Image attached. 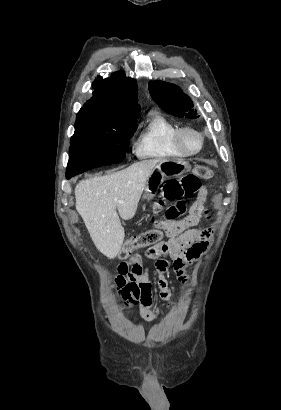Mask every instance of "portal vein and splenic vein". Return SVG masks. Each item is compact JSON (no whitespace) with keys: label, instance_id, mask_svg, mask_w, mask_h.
I'll return each mask as SVG.
<instances>
[{"label":"portal vein and splenic vein","instance_id":"portal-vein-and-splenic-vein-1","mask_svg":"<svg viewBox=\"0 0 281 410\" xmlns=\"http://www.w3.org/2000/svg\"><path fill=\"white\" fill-rule=\"evenodd\" d=\"M117 203H123V201H117Z\"/></svg>","mask_w":281,"mask_h":410}]
</instances>
